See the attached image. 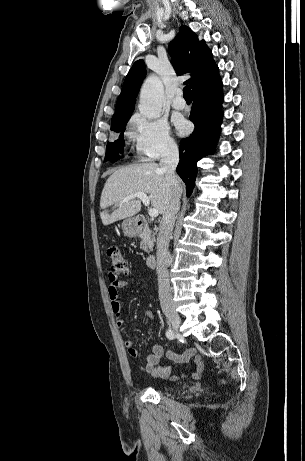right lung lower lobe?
<instances>
[{
	"mask_svg": "<svg viewBox=\"0 0 305 461\" xmlns=\"http://www.w3.org/2000/svg\"><path fill=\"white\" fill-rule=\"evenodd\" d=\"M193 95L190 120L195 129L190 137L180 142V161L176 169L186 184L187 196L191 194L195 184L197 161L214 150L219 137L223 94L218 73L195 88Z\"/></svg>",
	"mask_w": 305,
	"mask_h": 461,
	"instance_id": "obj_1",
	"label": "right lung lower lobe"
}]
</instances>
